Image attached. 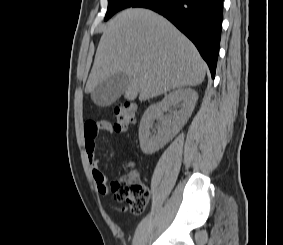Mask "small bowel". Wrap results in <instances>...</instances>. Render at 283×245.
I'll list each match as a JSON object with an SVG mask.
<instances>
[{
  "label": "small bowel",
  "mask_w": 283,
  "mask_h": 245,
  "mask_svg": "<svg viewBox=\"0 0 283 245\" xmlns=\"http://www.w3.org/2000/svg\"><path fill=\"white\" fill-rule=\"evenodd\" d=\"M85 150L92 167V175L97 184L98 191L105 195L108 193V178L99 167L96 157V138L100 132L111 133L112 126L107 121H87L84 124Z\"/></svg>",
  "instance_id": "obj_1"
}]
</instances>
